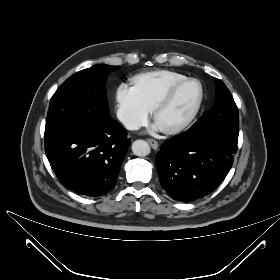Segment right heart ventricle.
I'll use <instances>...</instances> for the list:
<instances>
[{
	"label": "right heart ventricle",
	"mask_w": 280,
	"mask_h": 280,
	"mask_svg": "<svg viewBox=\"0 0 280 280\" xmlns=\"http://www.w3.org/2000/svg\"><path fill=\"white\" fill-rule=\"evenodd\" d=\"M186 78L175 71L155 70L136 74L132 83L143 103L151 110L169 86Z\"/></svg>",
	"instance_id": "right-heart-ventricle-1"
}]
</instances>
